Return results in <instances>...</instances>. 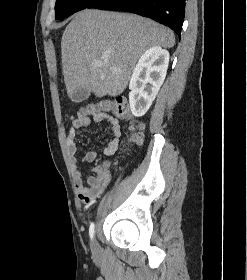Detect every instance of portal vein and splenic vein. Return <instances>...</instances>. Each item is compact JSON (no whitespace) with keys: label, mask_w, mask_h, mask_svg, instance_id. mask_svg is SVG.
Returning a JSON list of instances; mask_svg holds the SVG:
<instances>
[{"label":"portal vein and splenic vein","mask_w":247,"mask_h":280,"mask_svg":"<svg viewBox=\"0 0 247 280\" xmlns=\"http://www.w3.org/2000/svg\"><path fill=\"white\" fill-rule=\"evenodd\" d=\"M97 65L101 66V65H103V63H102V62H98V64H97Z\"/></svg>","instance_id":"18ae733b"}]
</instances>
